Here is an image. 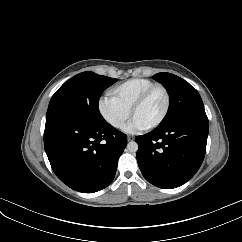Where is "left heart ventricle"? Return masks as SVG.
Instances as JSON below:
<instances>
[{"label": "left heart ventricle", "instance_id": "b2bd125f", "mask_svg": "<svg viewBox=\"0 0 242 242\" xmlns=\"http://www.w3.org/2000/svg\"><path fill=\"white\" fill-rule=\"evenodd\" d=\"M164 106V94L161 90L157 89L152 92L147 100L135 111L133 118L148 127L159 119Z\"/></svg>", "mask_w": 242, "mask_h": 242}]
</instances>
